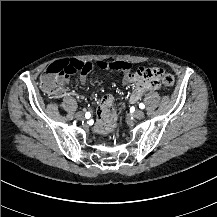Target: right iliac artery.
<instances>
[{
  "label": "right iliac artery",
  "mask_w": 217,
  "mask_h": 217,
  "mask_svg": "<svg viewBox=\"0 0 217 217\" xmlns=\"http://www.w3.org/2000/svg\"><path fill=\"white\" fill-rule=\"evenodd\" d=\"M91 114H92L91 111H89V110L86 111V113H85L86 119H88V120L91 119V117H92Z\"/></svg>",
  "instance_id": "right-iliac-artery-1"
}]
</instances>
